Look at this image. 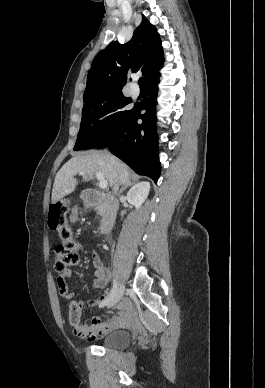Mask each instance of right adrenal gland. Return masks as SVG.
<instances>
[{
  "label": "right adrenal gland",
  "mask_w": 265,
  "mask_h": 388,
  "mask_svg": "<svg viewBox=\"0 0 265 388\" xmlns=\"http://www.w3.org/2000/svg\"><path fill=\"white\" fill-rule=\"evenodd\" d=\"M129 186H133V184H131L130 180H129V184H126V186H123V188H121L119 194H122V192H124V190H127V188H129Z\"/></svg>",
  "instance_id": "1"
}]
</instances>
